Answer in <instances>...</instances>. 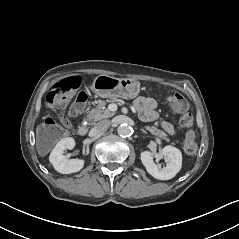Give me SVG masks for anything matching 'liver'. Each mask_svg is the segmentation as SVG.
Returning a JSON list of instances; mask_svg holds the SVG:
<instances>
[{
    "mask_svg": "<svg viewBox=\"0 0 239 239\" xmlns=\"http://www.w3.org/2000/svg\"><path fill=\"white\" fill-rule=\"evenodd\" d=\"M38 131H39V128L36 129V135L38 136Z\"/></svg>",
    "mask_w": 239,
    "mask_h": 239,
    "instance_id": "obj_1",
    "label": "liver"
}]
</instances>
